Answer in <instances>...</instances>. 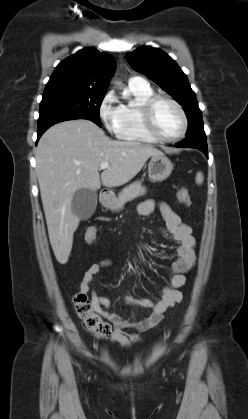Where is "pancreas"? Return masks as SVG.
<instances>
[{
	"instance_id": "pancreas-1",
	"label": "pancreas",
	"mask_w": 248,
	"mask_h": 419,
	"mask_svg": "<svg viewBox=\"0 0 248 419\" xmlns=\"http://www.w3.org/2000/svg\"><path fill=\"white\" fill-rule=\"evenodd\" d=\"M146 194V188L142 186L141 181H135L125 188L118 194V198L114 202L112 210H120L124 204L136 197L143 196Z\"/></svg>"
}]
</instances>
